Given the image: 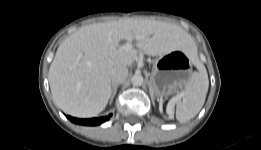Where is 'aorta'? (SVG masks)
Masks as SVG:
<instances>
[{"label":"aorta","instance_id":"762f6f07","mask_svg":"<svg viewBox=\"0 0 261 150\" xmlns=\"http://www.w3.org/2000/svg\"><path fill=\"white\" fill-rule=\"evenodd\" d=\"M133 86H141L143 84V77L140 74H135L131 79Z\"/></svg>","mask_w":261,"mask_h":150}]
</instances>
